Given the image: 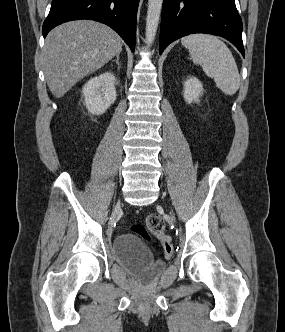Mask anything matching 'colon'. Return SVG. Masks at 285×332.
I'll use <instances>...</instances> for the list:
<instances>
[{
    "mask_svg": "<svg viewBox=\"0 0 285 332\" xmlns=\"http://www.w3.org/2000/svg\"><path fill=\"white\" fill-rule=\"evenodd\" d=\"M131 230L147 240H150L151 236L158 237L161 241L165 257H172L174 248L170 238L164 234L165 223L158 215H148L145 224H135L131 227Z\"/></svg>",
    "mask_w": 285,
    "mask_h": 332,
    "instance_id": "1",
    "label": "colon"
}]
</instances>
